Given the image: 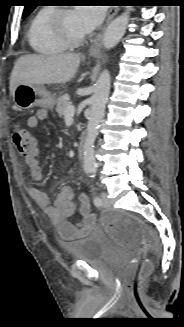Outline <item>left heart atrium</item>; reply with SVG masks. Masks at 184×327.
I'll use <instances>...</instances> for the list:
<instances>
[{"instance_id":"left-heart-atrium-1","label":"left heart atrium","mask_w":184,"mask_h":327,"mask_svg":"<svg viewBox=\"0 0 184 327\" xmlns=\"http://www.w3.org/2000/svg\"><path fill=\"white\" fill-rule=\"evenodd\" d=\"M82 29L89 33L96 29L104 18V9L94 5H85L73 10Z\"/></svg>"}]
</instances>
